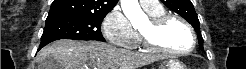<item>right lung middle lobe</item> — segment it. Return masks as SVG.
I'll return each mask as SVG.
<instances>
[{"instance_id":"1","label":"right lung middle lobe","mask_w":246,"mask_h":69,"mask_svg":"<svg viewBox=\"0 0 246 69\" xmlns=\"http://www.w3.org/2000/svg\"><path fill=\"white\" fill-rule=\"evenodd\" d=\"M105 16H59L46 19L41 42L58 39L105 41L101 23Z\"/></svg>"}]
</instances>
